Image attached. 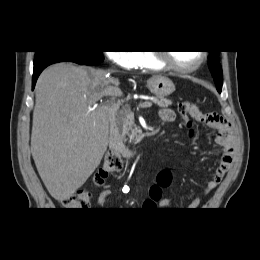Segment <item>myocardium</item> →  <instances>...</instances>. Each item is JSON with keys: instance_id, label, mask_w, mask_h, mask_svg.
Listing matches in <instances>:
<instances>
[{"instance_id": "obj_1", "label": "myocardium", "mask_w": 260, "mask_h": 260, "mask_svg": "<svg viewBox=\"0 0 260 260\" xmlns=\"http://www.w3.org/2000/svg\"><path fill=\"white\" fill-rule=\"evenodd\" d=\"M151 54L164 67L177 71V72H183V73L192 72V71L198 69L204 63V61L206 59V52L200 51V58L195 64L190 65V66H182V65H178L175 62H173L171 59L170 53L167 51L156 50V51L151 52Z\"/></svg>"}]
</instances>
